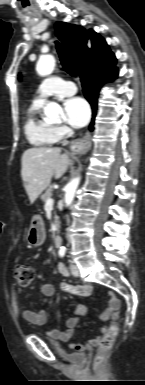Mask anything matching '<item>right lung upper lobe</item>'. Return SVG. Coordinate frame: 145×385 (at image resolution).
<instances>
[{
    "label": "right lung upper lobe",
    "mask_w": 145,
    "mask_h": 385,
    "mask_svg": "<svg viewBox=\"0 0 145 385\" xmlns=\"http://www.w3.org/2000/svg\"><path fill=\"white\" fill-rule=\"evenodd\" d=\"M55 32L80 75L116 62L105 40L93 30L87 32L80 26L57 22Z\"/></svg>",
    "instance_id": "cb5924a9"
}]
</instances>
